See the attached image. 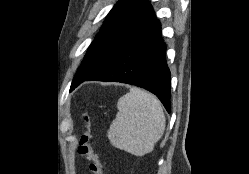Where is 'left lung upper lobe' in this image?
I'll return each instance as SVG.
<instances>
[{"mask_svg":"<svg viewBox=\"0 0 249 174\" xmlns=\"http://www.w3.org/2000/svg\"><path fill=\"white\" fill-rule=\"evenodd\" d=\"M155 19L147 0H120L107 15L73 80L88 78L105 66L136 33Z\"/></svg>","mask_w":249,"mask_h":174,"instance_id":"1","label":"left lung upper lobe"}]
</instances>
